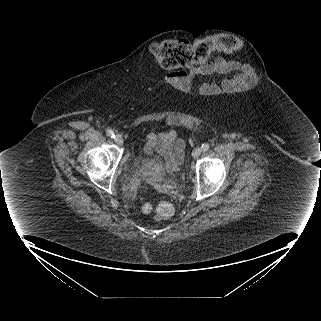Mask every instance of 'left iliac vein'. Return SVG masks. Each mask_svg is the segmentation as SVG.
<instances>
[{"instance_id": "left-iliac-vein-1", "label": "left iliac vein", "mask_w": 321, "mask_h": 321, "mask_svg": "<svg viewBox=\"0 0 321 321\" xmlns=\"http://www.w3.org/2000/svg\"><path fill=\"white\" fill-rule=\"evenodd\" d=\"M201 152H202V149L200 147L195 148L192 152V157L194 159L198 158L200 156Z\"/></svg>"}]
</instances>
